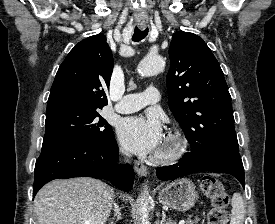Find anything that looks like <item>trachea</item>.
<instances>
[{"instance_id": "trachea-1", "label": "trachea", "mask_w": 275, "mask_h": 224, "mask_svg": "<svg viewBox=\"0 0 275 224\" xmlns=\"http://www.w3.org/2000/svg\"><path fill=\"white\" fill-rule=\"evenodd\" d=\"M148 34V29L140 30L138 27H135L134 34L132 40L134 42H139L144 39Z\"/></svg>"}]
</instances>
